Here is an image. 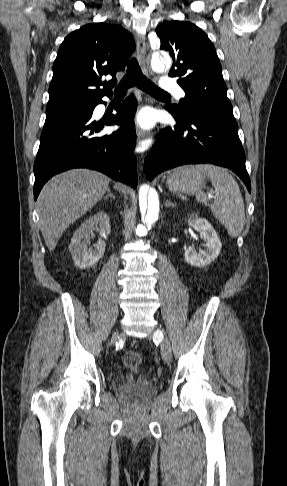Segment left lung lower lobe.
<instances>
[{
    "instance_id": "1",
    "label": "left lung lower lobe",
    "mask_w": 287,
    "mask_h": 486,
    "mask_svg": "<svg viewBox=\"0 0 287 486\" xmlns=\"http://www.w3.org/2000/svg\"><path fill=\"white\" fill-rule=\"evenodd\" d=\"M171 114L177 124L160 132L145 159L144 171L149 180L176 166L211 163L233 170L251 191L238 128L199 116L182 120Z\"/></svg>"
}]
</instances>
